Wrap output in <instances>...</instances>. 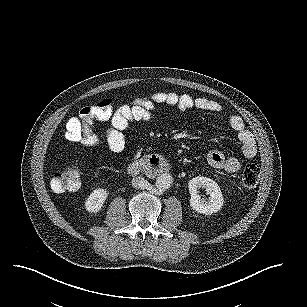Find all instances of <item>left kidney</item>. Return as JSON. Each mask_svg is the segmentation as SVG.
<instances>
[{
    "mask_svg": "<svg viewBox=\"0 0 307 307\" xmlns=\"http://www.w3.org/2000/svg\"><path fill=\"white\" fill-rule=\"evenodd\" d=\"M203 188L206 194L209 195L208 199L201 198L199 189ZM190 193V206L198 213L211 215L218 212L224 203L223 195L219 185L212 179L198 176L192 178L188 183Z\"/></svg>",
    "mask_w": 307,
    "mask_h": 307,
    "instance_id": "obj_1",
    "label": "left kidney"
}]
</instances>
